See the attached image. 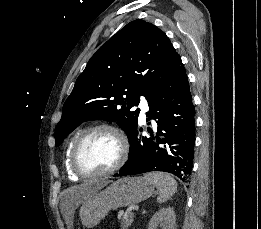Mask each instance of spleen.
<instances>
[{"label":"spleen","instance_id":"obj_1","mask_svg":"<svg viewBox=\"0 0 261 229\" xmlns=\"http://www.w3.org/2000/svg\"><path fill=\"white\" fill-rule=\"evenodd\" d=\"M145 179L151 181L159 191L157 203H166L174 193L177 191V183L170 173H160V171H153V173H145Z\"/></svg>","mask_w":261,"mask_h":229}]
</instances>
